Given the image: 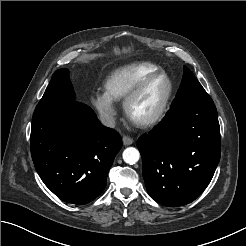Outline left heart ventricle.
Instances as JSON below:
<instances>
[{"instance_id":"1","label":"left heart ventricle","mask_w":246,"mask_h":246,"mask_svg":"<svg viewBox=\"0 0 246 246\" xmlns=\"http://www.w3.org/2000/svg\"><path fill=\"white\" fill-rule=\"evenodd\" d=\"M168 89L169 83L165 77L151 81L133 103V116L137 119H146L154 115L161 107Z\"/></svg>"}]
</instances>
